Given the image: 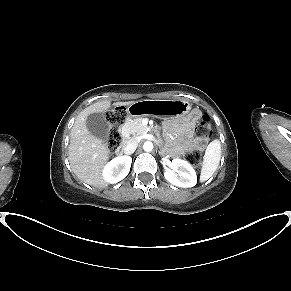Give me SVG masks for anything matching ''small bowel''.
Returning a JSON list of instances; mask_svg holds the SVG:
<instances>
[{"label": "small bowel", "mask_w": 291, "mask_h": 291, "mask_svg": "<svg viewBox=\"0 0 291 291\" xmlns=\"http://www.w3.org/2000/svg\"><path fill=\"white\" fill-rule=\"evenodd\" d=\"M200 115L197 110L191 109L187 111L185 118L171 121L166 124L169 130L177 133L178 140L175 148L177 154H182L184 151L192 148L195 141L192 136V125L198 122Z\"/></svg>", "instance_id": "obj_1"}]
</instances>
